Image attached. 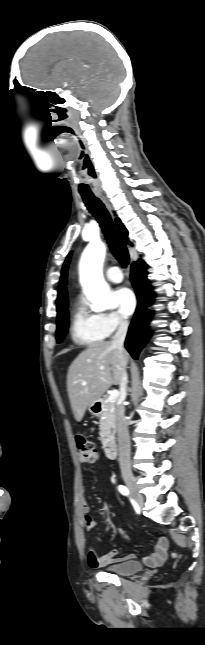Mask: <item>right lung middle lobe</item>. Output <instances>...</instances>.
I'll use <instances>...</instances> for the list:
<instances>
[{"mask_svg": "<svg viewBox=\"0 0 205 645\" xmlns=\"http://www.w3.org/2000/svg\"><path fill=\"white\" fill-rule=\"evenodd\" d=\"M69 315L68 311L65 308L63 312L60 314L59 317H57V332H56V339L57 342L60 343L63 338L65 337L67 333V327L69 325Z\"/></svg>", "mask_w": 205, "mask_h": 645, "instance_id": "obj_1", "label": "right lung middle lobe"}]
</instances>
